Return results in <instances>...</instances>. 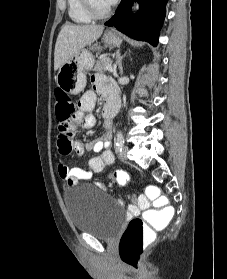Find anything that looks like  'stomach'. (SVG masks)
Here are the masks:
<instances>
[{
	"mask_svg": "<svg viewBox=\"0 0 227 279\" xmlns=\"http://www.w3.org/2000/svg\"><path fill=\"white\" fill-rule=\"evenodd\" d=\"M102 41L106 46L118 47L122 40L113 31H105ZM93 48L100 49L96 43ZM95 59L87 48L80 49L69 61L64 63L55 77L58 87L67 94L77 95L86 86V72L92 69Z\"/></svg>",
	"mask_w": 227,
	"mask_h": 279,
	"instance_id": "obj_1",
	"label": "stomach"
}]
</instances>
